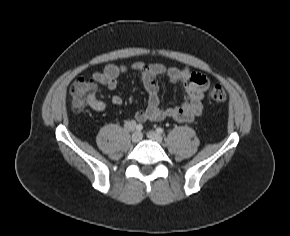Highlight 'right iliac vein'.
Returning a JSON list of instances; mask_svg holds the SVG:
<instances>
[{
  "mask_svg": "<svg viewBox=\"0 0 290 236\" xmlns=\"http://www.w3.org/2000/svg\"><path fill=\"white\" fill-rule=\"evenodd\" d=\"M141 138H142L141 133L138 132V131H136V132H134V133L132 134V136H131V141H132L133 143H138V142L141 140Z\"/></svg>",
  "mask_w": 290,
  "mask_h": 236,
  "instance_id": "63e3f726",
  "label": "right iliac vein"
}]
</instances>
